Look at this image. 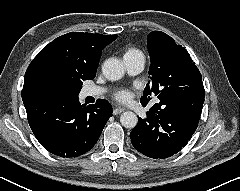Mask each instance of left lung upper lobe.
<instances>
[{
    "mask_svg": "<svg viewBox=\"0 0 240 191\" xmlns=\"http://www.w3.org/2000/svg\"><path fill=\"white\" fill-rule=\"evenodd\" d=\"M147 48L151 65L150 81L147 83L141 103L147 104L151 96L165 104L185 94L191 84L202 82V76L187 50L177 45L172 37L161 31L148 35Z\"/></svg>",
    "mask_w": 240,
    "mask_h": 191,
    "instance_id": "5c2ea615",
    "label": "left lung upper lobe"
}]
</instances>
